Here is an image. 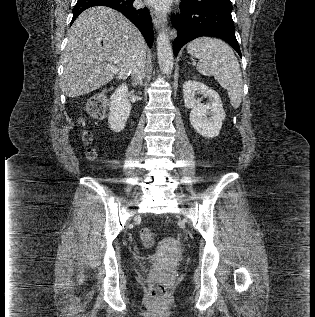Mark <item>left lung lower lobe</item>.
I'll return each instance as SVG.
<instances>
[{
  "label": "left lung lower lobe",
  "mask_w": 315,
  "mask_h": 317,
  "mask_svg": "<svg viewBox=\"0 0 315 317\" xmlns=\"http://www.w3.org/2000/svg\"><path fill=\"white\" fill-rule=\"evenodd\" d=\"M231 11L232 6L211 1L182 0L181 14L172 15V25L178 31L173 43L174 55L191 40L210 36L226 41L241 57Z\"/></svg>",
  "instance_id": "obj_1"
}]
</instances>
